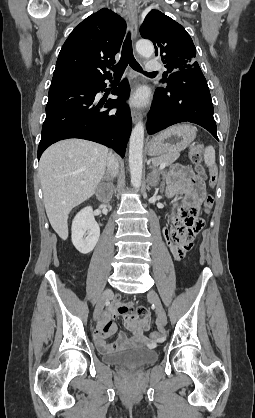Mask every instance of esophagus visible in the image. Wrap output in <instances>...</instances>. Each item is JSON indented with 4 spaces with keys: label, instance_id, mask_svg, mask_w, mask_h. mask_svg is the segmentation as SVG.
I'll list each match as a JSON object with an SVG mask.
<instances>
[{
    "label": "esophagus",
    "instance_id": "34e87169",
    "mask_svg": "<svg viewBox=\"0 0 255 418\" xmlns=\"http://www.w3.org/2000/svg\"><path fill=\"white\" fill-rule=\"evenodd\" d=\"M127 15L130 21L131 25V32H132V38L135 39L137 36V27H138V19H137V10L135 5L132 2H129L127 5ZM141 114L137 110L131 111V117L132 121L135 123L139 118Z\"/></svg>",
    "mask_w": 255,
    "mask_h": 418
}]
</instances>
